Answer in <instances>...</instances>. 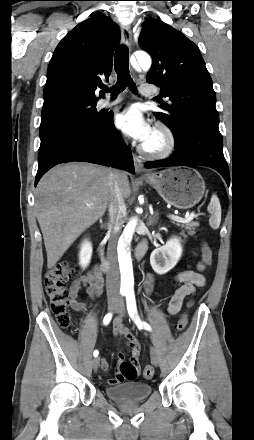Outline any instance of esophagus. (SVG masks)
I'll use <instances>...</instances> for the list:
<instances>
[{
    "instance_id": "1",
    "label": "esophagus",
    "mask_w": 254,
    "mask_h": 440,
    "mask_svg": "<svg viewBox=\"0 0 254 440\" xmlns=\"http://www.w3.org/2000/svg\"><path fill=\"white\" fill-rule=\"evenodd\" d=\"M121 37L122 41L126 46H130L132 42V32L129 26H121ZM133 161L135 166V171L138 174L142 175H148L149 173L145 170L143 166L142 160L137 157L136 155H133Z\"/></svg>"
}]
</instances>
